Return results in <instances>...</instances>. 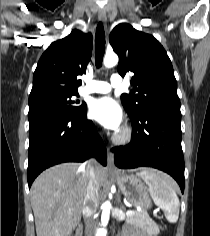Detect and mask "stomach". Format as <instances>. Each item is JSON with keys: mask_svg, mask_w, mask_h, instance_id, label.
<instances>
[{"mask_svg": "<svg viewBox=\"0 0 210 236\" xmlns=\"http://www.w3.org/2000/svg\"><path fill=\"white\" fill-rule=\"evenodd\" d=\"M113 178L121 192L133 205L141 207L143 211L151 208L152 202L149 190L138 175L120 173L113 175Z\"/></svg>", "mask_w": 210, "mask_h": 236, "instance_id": "stomach-1", "label": "stomach"}]
</instances>
